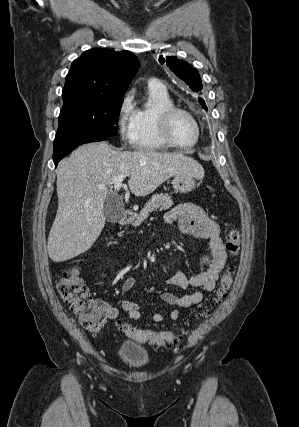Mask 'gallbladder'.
<instances>
[{"instance_id":"obj_1","label":"gallbladder","mask_w":299,"mask_h":427,"mask_svg":"<svg viewBox=\"0 0 299 427\" xmlns=\"http://www.w3.org/2000/svg\"><path fill=\"white\" fill-rule=\"evenodd\" d=\"M104 215L110 223H116L123 219L124 204L121 196L109 193L104 203Z\"/></svg>"}]
</instances>
